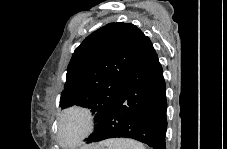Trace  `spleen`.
<instances>
[{
    "label": "spleen",
    "mask_w": 227,
    "mask_h": 149,
    "mask_svg": "<svg viewBox=\"0 0 227 149\" xmlns=\"http://www.w3.org/2000/svg\"><path fill=\"white\" fill-rule=\"evenodd\" d=\"M101 145L106 146L108 149H145L142 143L125 138L107 140Z\"/></svg>",
    "instance_id": "3e777b00"
}]
</instances>
